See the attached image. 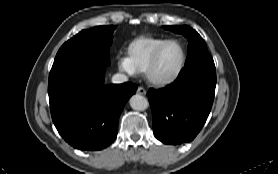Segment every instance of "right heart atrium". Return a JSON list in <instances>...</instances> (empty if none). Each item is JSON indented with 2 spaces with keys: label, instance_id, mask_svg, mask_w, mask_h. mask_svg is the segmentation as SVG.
Instances as JSON below:
<instances>
[{
  "label": "right heart atrium",
  "instance_id": "right-heart-atrium-1",
  "mask_svg": "<svg viewBox=\"0 0 278 174\" xmlns=\"http://www.w3.org/2000/svg\"><path fill=\"white\" fill-rule=\"evenodd\" d=\"M118 66H119L120 70L124 71L127 74L133 75L136 73V70L132 66L129 58L126 56L119 57Z\"/></svg>",
  "mask_w": 278,
  "mask_h": 174
}]
</instances>
